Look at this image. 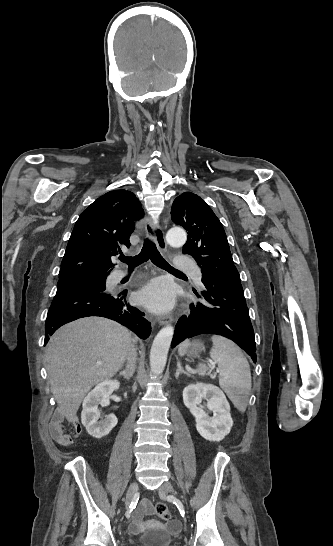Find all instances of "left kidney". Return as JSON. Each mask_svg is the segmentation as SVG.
<instances>
[{"label":"left kidney","instance_id":"left-kidney-1","mask_svg":"<svg viewBox=\"0 0 333 546\" xmlns=\"http://www.w3.org/2000/svg\"><path fill=\"white\" fill-rule=\"evenodd\" d=\"M206 400V406L215 413L210 417L200 405ZM183 401L195 417L198 433L206 440L221 441L230 433L233 420L230 405L223 391L213 384H190L183 390Z\"/></svg>","mask_w":333,"mask_h":546}]
</instances>
